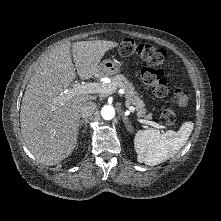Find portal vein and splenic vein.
Instances as JSON below:
<instances>
[{
    "mask_svg": "<svg viewBox=\"0 0 221 221\" xmlns=\"http://www.w3.org/2000/svg\"><path fill=\"white\" fill-rule=\"evenodd\" d=\"M115 91V89L113 87L107 86L106 84H101V83H87V84H80V83H74L73 84V88L64 91V95L67 96V98H71L73 96L76 95H80V94H93V93H111ZM135 110L134 107H129V111L133 112ZM141 123L147 124V125H151L157 129H161L162 126H160L158 123L156 122H152V121H147V120H138Z\"/></svg>",
    "mask_w": 221,
    "mask_h": 221,
    "instance_id": "18ae733b",
    "label": "portal vein and splenic vein"
}]
</instances>
